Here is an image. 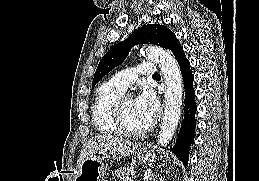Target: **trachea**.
Returning <instances> with one entry per match:
<instances>
[{"mask_svg": "<svg viewBox=\"0 0 259 181\" xmlns=\"http://www.w3.org/2000/svg\"><path fill=\"white\" fill-rule=\"evenodd\" d=\"M153 76H159V73H155Z\"/></svg>", "mask_w": 259, "mask_h": 181, "instance_id": "3493384b", "label": "trachea"}]
</instances>
